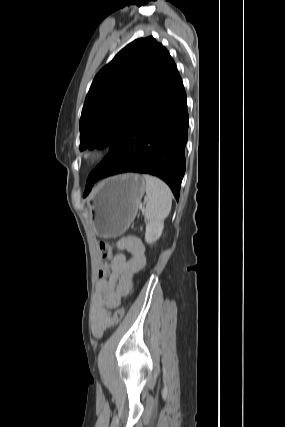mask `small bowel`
<instances>
[{
  "mask_svg": "<svg viewBox=\"0 0 285 427\" xmlns=\"http://www.w3.org/2000/svg\"><path fill=\"white\" fill-rule=\"evenodd\" d=\"M118 246L126 250L130 257L115 255L108 278L96 284L92 299V331L97 338L102 337L110 326L111 310L119 306L122 297L130 293L134 275L146 264L145 246L140 238L125 237L119 241Z\"/></svg>",
  "mask_w": 285,
  "mask_h": 427,
  "instance_id": "small-bowel-1",
  "label": "small bowel"
}]
</instances>
